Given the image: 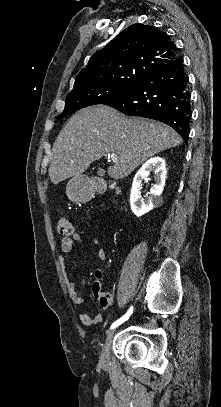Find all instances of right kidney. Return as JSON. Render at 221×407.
I'll return each mask as SVG.
<instances>
[{"instance_id": "1", "label": "right kidney", "mask_w": 221, "mask_h": 407, "mask_svg": "<svg viewBox=\"0 0 221 407\" xmlns=\"http://www.w3.org/2000/svg\"><path fill=\"white\" fill-rule=\"evenodd\" d=\"M154 172L155 183L152 184L150 195L146 199H143L140 193V186L143 179H145L149 173ZM166 180V167L165 160L161 157H153L146 161L142 167L136 173L130 194V206L132 212L141 217L145 213H148L153 208L162 204L161 194Z\"/></svg>"}]
</instances>
